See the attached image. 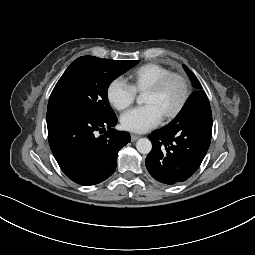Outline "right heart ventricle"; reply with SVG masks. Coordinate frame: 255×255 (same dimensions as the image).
<instances>
[{
  "mask_svg": "<svg viewBox=\"0 0 255 255\" xmlns=\"http://www.w3.org/2000/svg\"><path fill=\"white\" fill-rule=\"evenodd\" d=\"M170 72L169 68L158 63L144 64L131 74V86L136 92H145L158 79Z\"/></svg>",
  "mask_w": 255,
  "mask_h": 255,
  "instance_id": "e07e8e85",
  "label": "right heart ventricle"
}]
</instances>
